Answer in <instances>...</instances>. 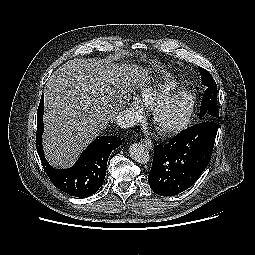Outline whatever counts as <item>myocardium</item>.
Masks as SVG:
<instances>
[{
	"instance_id": "1",
	"label": "myocardium",
	"mask_w": 255,
	"mask_h": 255,
	"mask_svg": "<svg viewBox=\"0 0 255 255\" xmlns=\"http://www.w3.org/2000/svg\"><path fill=\"white\" fill-rule=\"evenodd\" d=\"M184 105V114L176 121L165 122V116L176 106ZM196 106L195 94L183 91L160 103L154 108L153 121L156 129L164 135L176 134L185 129L191 122Z\"/></svg>"
}]
</instances>
